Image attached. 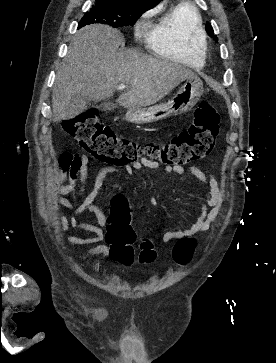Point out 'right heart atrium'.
<instances>
[{"label": "right heart atrium", "mask_w": 276, "mask_h": 363, "mask_svg": "<svg viewBox=\"0 0 276 363\" xmlns=\"http://www.w3.org/2000/svg\"><path fill=\"white\" fill-rule=\"evenodd\" d=\"M144 26H145V22H144V21H139V22H138V24H137V26H136V34H137V35H140V34H141V32H142V30H143Z\"/></svg>", "instance_id": "1"}]
</instances>
